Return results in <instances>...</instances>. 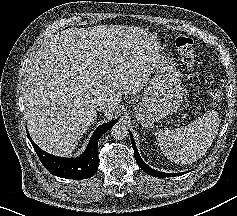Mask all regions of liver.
Segmentation results:
<instances>
[{"instance_id": "1", "label": "liver", "mask_w": 237, "mask_h": 216, "mask_svg": "<svg viewBox=\"0 0 237 216\" xmlns=\"http://www.w3.org/2000/svg\"><path fill=\"white\" fill-rule=\"evenodd\" d=\"M114 27L69 28L45 41L26 70L25 119L33 141L56 154L75 149L97 119L99 100L117 107L141 90L146 69L120 61ZM114 111H104L107 119Z\"/></svg>"}]
</instances>
